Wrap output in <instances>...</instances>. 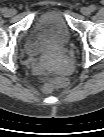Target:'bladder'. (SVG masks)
<instances>
[{"instance_id":"obj_1","label":"bladder","mask_w":104,"mask_h":137,"mask_svg":"<svg viewBox=\"0 0 104 137\" xmlns=\"http://www.w3.org/2000/svg\"><path fill=\"white\" fill-rule=\"evenodd\" d=\"M71 40V29L57 10L43 12L30 28L24 47L29 56L49 57L63 51Z\"/></svg>"}]
</instances>
